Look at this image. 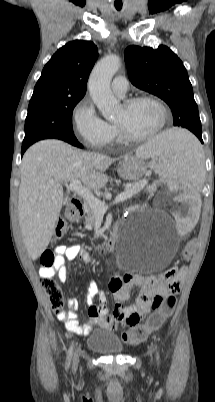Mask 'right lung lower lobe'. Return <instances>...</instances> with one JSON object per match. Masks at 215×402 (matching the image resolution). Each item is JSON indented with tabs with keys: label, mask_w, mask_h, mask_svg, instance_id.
I'll list each match as a JSON object with an SVG mask.
<instances>
[{
	"label": "right lung lower lobe",
	"mask_w": 215,
	"mask_h": 402,
	"mask_svg": "<svg viewBox=\"0 0 215 402\" xmlns=\"http://www.w3.org/2000/svg\"><path fill=\"white\" fill-rule=\"evenodd\" d=\"M68 143H70V144H72V145H74V146L83 148V146L78 142L77 139L71 140V141H69ZM29 146H30V145H22L21 155H23V153L25 152V150H26Z\"/></svg>",
	"instance_id": "right-lung-lower-lobe-1"
}]
</instances>
